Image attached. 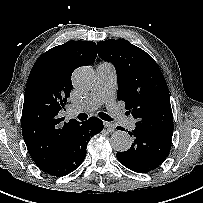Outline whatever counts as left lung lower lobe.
<instances>
[{
	"instance_id": "obj_1",
	"label": "left lung lower lobe",
	"mask_w": 203,
	"mask_h": 203,
	"mask_svg": "<svg viewBox=\"0 0 203 203\" xmlns=\"http://www.w3.org/2000/svg\"><path fill=\"white\" fill-rule=\"evenodd\" d=\"M128 133L134 142L127 151L117 153L119 162L137 173H148L158 168L170 151L172 136L137 127Z\"/></svg>"
}]
</instances>
